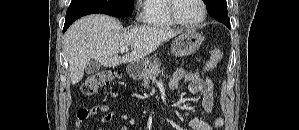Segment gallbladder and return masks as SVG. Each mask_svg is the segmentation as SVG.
Instances as JSON below:
<instances>
[{
  "mask_svg": "<svg viewBox=\"0 0 299 130\" xmlns=\"http://www.w3.org/2000/svg\"><path fill=\"white\" fill-rule=\"evenodd\" d=\"M101 67V64L96 60H90L85 67V73L87 75H94L96 74Z\"/></svg>",
  "mask_w": 299,
  "mask_h": 130,
  "instance_id": "bac80fb5",
  "label": "gallbladder"
}]
</instances>
